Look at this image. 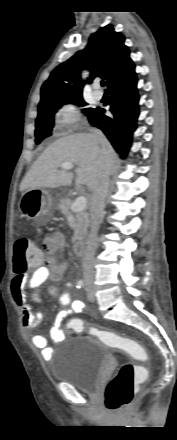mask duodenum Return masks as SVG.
I'll return each mask as SVG.
<instances>
[{"label": "duodenum", "instance_id": "1", "mask_svg": "<svg viewBox=\"0 0 177 440\" xmlns=\"http://www.w3.org/2000/svg\"><path fill=\"white\" fill-rule=\"evenodd\" d=\"M74 253L77 256H83L85 253V243L82 240H78L74 243Z\"/></svg>", "mask_w": 177, "mask_h": 440}]
</instances>
